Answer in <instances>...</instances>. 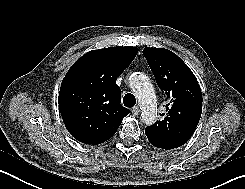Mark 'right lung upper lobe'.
I'll list each match as a JSON object with an SVG mask.
<instances>
[{
  "label": "right lung upper lobe",
  "mask_w": 245,
  "mask_h": 189,
  "mask_svg": "<svg viewBox=\"0 0 245 189\" xmlns=\"http://www.w3.org/2000/svg\"><path fill=\"white\" fill-rule=\"evenodd\" d=\"M137 52L136 47L92 50L69 69L58 99L63 122L75 139L97 145L116 133L130 113L121 105L116 80Z\"/></svg>",
  "instance_id": "right-lung-upper-lobe-1"
}]
</instances>
